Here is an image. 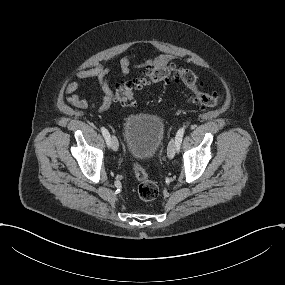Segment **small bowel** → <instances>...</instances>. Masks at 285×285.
Returning a JSON list of instances; mask_svg holds the SVG:
<instances>
[{
  "instance_id": "small-bowel-1",
  "label": "small bowel",
  "mask_w": 285,
  "mask_h": 285,
  "mask_svg": "<svg viewBox=\"0 0 285 285\" xmlns=\"http://www.w3.org/2000/svg\"><path fill=\"white\" fill-rule=\"evenodd\" d=\"M176 59L175 55L168 53H161L149 57L144 62H137L129 57H123L120 60L119 77H125L130 73L132 68H147L167 65ZM80 80L91 81L101 93V98L96 102H89L83 98L79 93L81 83L74 81L65 84L64 90L69 96L66 101L79 109L97 108L100 113L106 112L112 105L115 95L113 91V79L110 76V67L105 63H98L96 66L88 69H79L76 73Z\"/></svg>"
}]
</instances>
